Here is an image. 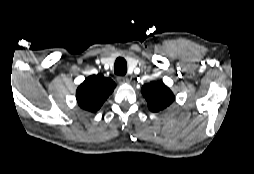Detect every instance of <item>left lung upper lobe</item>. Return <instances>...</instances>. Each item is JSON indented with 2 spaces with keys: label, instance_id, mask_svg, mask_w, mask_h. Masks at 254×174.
<instances>
[{
  "label": "left lung upper lobe",
  "instance_id": "1",
  "mask_svg": "<svg viewBox=\"0 0 254 174\" xmlns=\"http://www.w3.org/2000/svg\"><path fill=\"white\" fill-rule=\"evenodd\" d=\"M141 92L152 112L162 111L175 99L172 91L161 81L145 84Z\"/></svg>",
  "mask_w": 254,
  "mask_h": 174
}]
</instances>
